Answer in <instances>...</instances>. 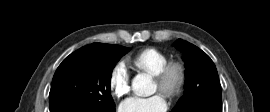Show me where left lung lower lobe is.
Segmentation results:
<instances>
[{
  "instance_id": "0a47b994",
  "label": "left lung lower lobe",
  "mask_w": 270,
  "mask_h": 112,
  "mask_svg": "<svg viewBox=\"0 0 270 112\" xmlns=\"http://www.w3.org/2000/svg\"><path fill=\"white\" fill-rule=\"evenodd\" d=\"M185 112H222V109H216L211 107L194 106Z\"/></svg>"
}]
</instances>
